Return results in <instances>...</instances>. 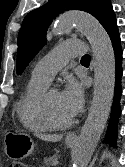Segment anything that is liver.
<instances>
[{"instance_id": "1", "label": "liver", "mask_w": 125, "mask_h": 167, "mask_svg": "<svg viewBox=\"0 0 125 167\" xmlns=\"http://www.w3.org/2000/svg\"><path fill=\"white\" fill-rule=\"evenodd\" d=\"M38 137L45 141L58 142L62 139V135L39 134Z\"/></svg>"}]
</instances>
